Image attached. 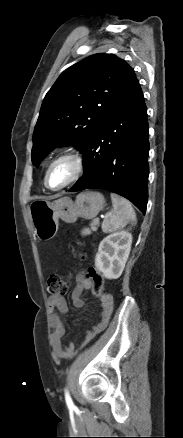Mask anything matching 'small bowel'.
<instances>
[{"instance_id":"1","label":"small bowel","mask_w":183,"mask_h":438,"mask_svg":"<svg viewBox=\"0 0 183 438\" xmlns=\"http://www.w3.org/2000/svg\"><path fill=\"white\" fill-rule=\"evenodd\" d=\"M76 281L77 283L72 291L71 299L75 308H81L84 305L82 294L85 290H88L92 287V282L88 276H85L82 273L77 275ZM48 303L49 324L52 328L51 340L54 352L59 358H70L75 351V345L69 343L67 346L63 347L61 343V339L65 334L62 316L68 312L67 301L64 296H58L50 297ZM100 306V319L94 326H92L91 329L86 332L85 341L90 340L107 326L114 307L113 296L110 293H107L105 296L101 297Z\"/></svg>"}]
</instances>
